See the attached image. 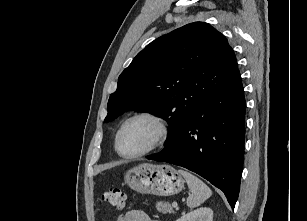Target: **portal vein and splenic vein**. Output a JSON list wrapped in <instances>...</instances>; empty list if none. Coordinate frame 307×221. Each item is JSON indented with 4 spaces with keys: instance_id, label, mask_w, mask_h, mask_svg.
Listing matches in <instances>:
<instances>
[{
    "instance_id": "1",
    "label": "portal vein and splenic vein",
    "mask_w": 307,
    "mask_h": 221,
    "mask_svg": "<svg viewBox=\"0 0 307 221\" xmlns=\"http://www.w3.org/2000/svg\"><path fill=\"white\" fill-rule=\"evenodd\" d=\"M172 206H173L174 208H178V204H177L176 202H173V203H172Z\"/></svg>"
}]
</instances>
